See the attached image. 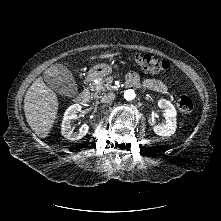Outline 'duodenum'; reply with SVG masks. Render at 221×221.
Returning a JSON list of instances; mask_svg holds the SVG:
<instances>
[{
  "label": "duodenum",
  "instance_id": "duodenum-1",
  "mask_svg": "<svg viewBox=\"0 0 221 221\" xmlns=\"http://www.w3.org/2000/svg\"><path fill=\"white\" fill-rule=\"evenodd\" d=\"M89 82V79H86L84 82V85ZM78 101L85 106H88L90 104H92V102L94 101V98L88 93V92H82L79 97H78Z\"/></svg>",
  "mask_w": 221,
  "mask_h": 221
}]
</instances>
